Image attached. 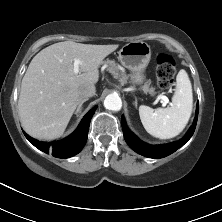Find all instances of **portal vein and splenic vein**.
Instances as JSON below:
<instances>
[{
  "instance_id": "portal-vein-and-splenic-vein-1",
  "label": "portal vein and splenic vein",
  "mask_w": 222,
  "mask_h": 222,
  "mask_svg": "<svg viewBox=\"0 0 222 222\" xmlns=\"http://www.w3.org/2000/svg\"><path fill=\"white\" fill-rule=\"evenodd\" d=\"M81 63L82 62L79 59L74 60V62H73V66H74L73 71H74L75 74L79 73V70H80L79 66H80ZM157 100H161L163 105H166L167 103H169V99L164 95H159L157 97Z\"/></svg>"
}]
</instances>
